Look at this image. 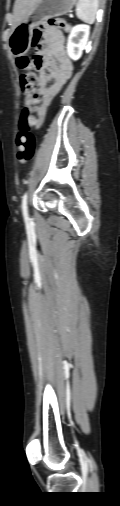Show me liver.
<instances>
[{
  "mask_svg": "<svg viewBox=\"0 0 120 506\" xmlns=\"http://www.w3.org/2000/svg\"><path fill=\"white\" fill-rule=\"evenodd\" d=\"M40 0H16L13 8L12 29L21 23Z\"/></svg>",
  "mask_w": 120,
  "mask_h": 506,
  "instance_id": "6515ba94",
  "label": "liver"
}]
</instances>
